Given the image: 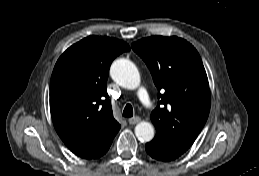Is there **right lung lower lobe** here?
<instances>
[{
  "mask_svg": "<svg viewBox=\"0 0 259 176\" xmlns=\"http://www.w3.org/2000/svg\"><path fill=\"white\" fill-rule=\"evenodd\" d=\"M108 148H109V147H108ZM108 148H107L106 150H104L103 153H102L100 156H102L103 154H105V153L107 152ZM100 156H99V157H100Z\"/></svg>",
  "mask_w": 259,
  "mask_h": 176,
  "instance_id": "1",
  "label": "right lung lower lobe"
}]
</instances>
